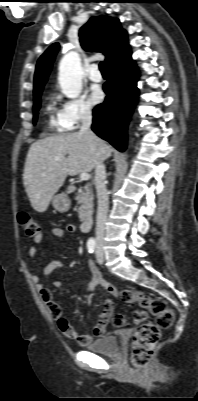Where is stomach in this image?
<instances>
[{
	"instance_id": "0dacf381",
	"label": "stomach",
	"mask_w": 198,
	"mask_h": 401,
	"mask_svg": "<svg viewBox=\"0 0 198 401\" xmlns=\"http://www.w3.org/2000/svg\"><path fill=\"white\" fill-rule=\"evenodd\" d=\"M51 201L53 208L59 212L68 211L71 205V201L65 193H60L53 196Z\"/></svg>"
}]
</instances>
